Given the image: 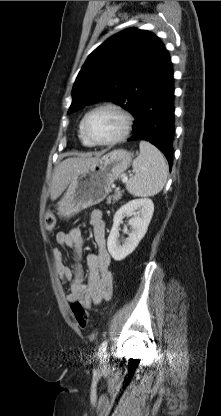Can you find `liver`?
<instances>
[{"mask_svg":"<svg viewBox=\"0 0 221 416\" xmlns=\"http://www.w3.org/2000/svg\"><path fill=\"white\" fill-rule=\"evenodd\" d=\"M99 160L96 157H71L63 160L55 169L50 188L51 200H56L71 180L81 171Z\"/></svg>","mask_w":221,"mask_h":416,"instance_id":"obj_1","label":"liver"}]
</instances>
